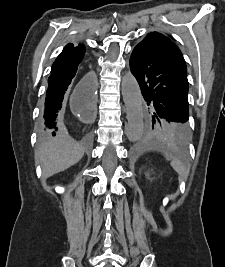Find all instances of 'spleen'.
Masks as SVG:
<instances>
[{
    "mask_svg": "<svg viewBox=\"0 0 225 267\" xmlns=\"http://www.w3.org/2000/svg\"><path fill=\"white\" fill-rule=\"evenodd\" d=\"M166 160L171 161L172 168L178 173V175L184 179L188 178L189 168L185 166L179 159L172 157L170 154L165 153Z\"/></svg>",
    "mask_w": 225,
    "mask_h": 267,
    "instance_id": "spleen-1",
    "label": "spleen"
}]
</instances>
